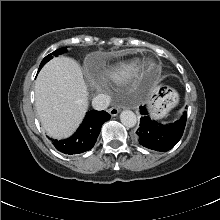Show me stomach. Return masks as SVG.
Masks as SVG:
<instances>
[{
    "label": "stomach",
    "mask_w": 220,
    "mask_h": 220,
    "mask_svg": "<svg viewBox=\"0 0 220 220\" xmlns=\"http://www.w3.org/2000/svg\"><path fill=\"white\" fill-rule=\"evenodd\" d=\"M159 90L160 88L157 89L159 93L157 99L151 101L152 116L157 119L165 117L178 102V94L174 90L169 92V88L160 92Z\"/></svg>",
    "instance_id": "obj_1"
}]
</instances>
